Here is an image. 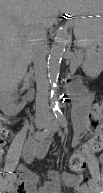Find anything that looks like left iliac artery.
Wrapping results in <instances>:
<instances>
[{
  "label": "left iliac artery",
  "mask_w": 103,
  "mask_h": 193,
  "mask_svg": "<svg viewBox=\"0 0 103 193\" xmlns=\"http://www.w3.org/2000/svg\"><path fill=\"white\" fill-rule=\"evenodd\" d=\"M56 118H57V120L59 121V123L61 124V126L63 127V128H67V120H66V117H65V115L61 112V111H59L57 114H56ZM88 185L90 186V187H94L95 186V182H94V180H92V179H90L89 181H88Z\"/></svg>",
  "instance_id": "obj_1"
}]
</instances>
